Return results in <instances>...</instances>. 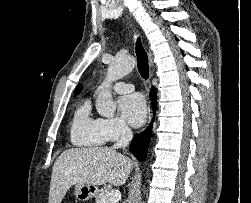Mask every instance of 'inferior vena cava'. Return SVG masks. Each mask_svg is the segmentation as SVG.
Wrapping results in <instances>:
<instances>
[{
	"instance_id": "1",
	"label": "inferior vena cava",
	"mask_w": 251,
	"mask_h": 203,
	"mask_svg": "<svg viewBox=\"0 0 251 203\" xmlns=\"http://www.w3.org/2000/svg\"><path fill=\"white\" fill-rule=\"evenodd\" d=\"M120 133H121L120 139L114 144L113 146L114 149L126 148L132 139L133 136L132 131L126 124H123L121 126Z\"/></svg>"
}]
</instances>
